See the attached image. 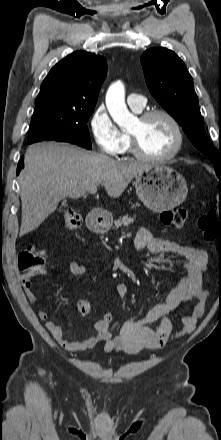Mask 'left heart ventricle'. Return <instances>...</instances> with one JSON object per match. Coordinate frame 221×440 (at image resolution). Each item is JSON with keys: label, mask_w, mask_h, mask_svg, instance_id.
Wrapping results in <instances>:
<instances>
[{"label": "left heart ventricle", "mask_w": 221, "mask_h": 440, "mask_svg": "<svg viewBox=\"0 0 221 440\" xmlns=\"http://www.w3.org/2000/svg\"><path fill=\"white\" fill-rule=\"evenodd\" d=\"M130 133L137 138L142 151L151 156L170 153L176 142L171 123L162 116H155L146 121L138 119Z\"/></svg>", "instance_id": "left-heart-ventricle-1"}]
</instances>
